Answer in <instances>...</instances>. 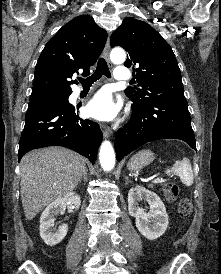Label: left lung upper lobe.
Returning a JSON list of instances; mask_svg holds the SVG:
<instances>
[{
  "instance_id": "obj_1",
  "label": "left lung upper lobe",
  "mask_w": 221,
  "mask_h": 274,
  "mask_svg": "<svg viewBox=\"0 0 221 274\" xmlns=\"http://www.w3.org/2000/svg\"><path fill=\"white\" fill-rule=\"evenodd\" d=\"M110 45L121 46L128 52L124 65L133 66L138 85L128 87L125 94L134 103L185 100L175 55L169 44L149 24L132 17L125 18L112 33Z\"/></svg>"
}]
</instances>
